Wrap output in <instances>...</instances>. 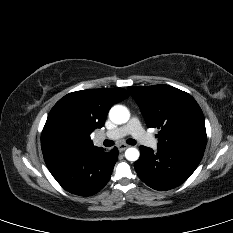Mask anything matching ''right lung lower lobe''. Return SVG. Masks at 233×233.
<instances>
[{
    "label": "right lung lower lobe",
    "mask_w": 233,
    "mask_h": 233,
    "mask_svg": "<svg viewBox=\"0 0 233 233\" xmlns=\"http://www.w3.org/2000/svg\"><path fill=\"white\" fill-rule=\"evenodd\" d=\"M118 159V149L111 152L95 149L85 153L53 152L44 156L56 181L68 192L91 196L109 181Z\"/></svg>",
    "instance_id": "1"
}]
</instances>
